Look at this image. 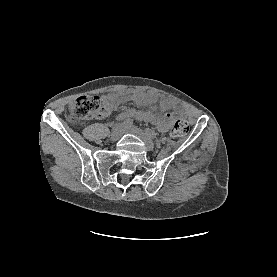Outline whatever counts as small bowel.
<instances>
[{"label": "small bowel", "mask_w": 277, "mask_h": 277, "mask_svg": "<svg viewBox=\"0 0 277 277\" xmlns=\"http://www.w3.org/2000/svg\"><path fill=\"white\" fill-rule=\"evenodd\" d=\"M121 99L130 100L139 105L152 106L153 110L137 111L130 108L119 114L118 118H136L141 121L151 122L163 132L168 131L175 120L174 114L165 113L173 107V103L169 99L159 98L152 92H139L136 90H130L122 94L109 93L103 95L101 98L103 109L100 117L109 116L117 108Z\"/></svg>", "instance_id": "obj_1"}]
</instances>
